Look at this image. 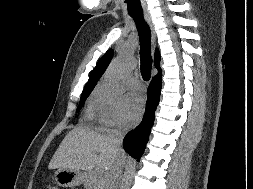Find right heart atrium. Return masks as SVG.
Segmentation results:
<instances>
[{
  "mask_svg": "<svg viewBox=\"0 0 253 189\" xmlns=\"http://www.w3.org/2000/svg\"><path fill=\"white\" fill-rule=\"evenodd\" d=\"M96 111L98 121L105 130H121L124 128V110L121 103L100 90L97 91Z\"/></svg>",
  "mask_w": 253,
  "mask_h": 189,
  "instance_id": "d8ad5b80",
  "label": "right heart atrium"
}]
</instances>
